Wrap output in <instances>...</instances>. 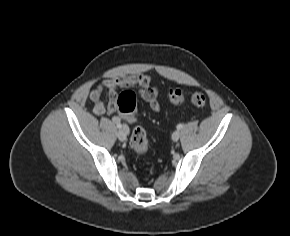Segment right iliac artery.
Wrapping results in <instances>:
<instances>
[{"instance_id": "obj_1", "label": "right iliac artery", "mask_w": 290, "mask_h": 236, "mask_svg": "<svg viewBox=\"0 0 290 236\" xmlns=\"http://www.w3.org/2000/svg\"><path fill=\"white\" fill-rule=\"evenodd\" d=\"M117 127H118V128H121V127H122V125H121L120 122H117Z\"/></svg>"}]
</instances>
